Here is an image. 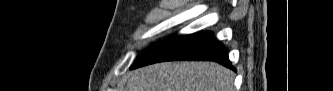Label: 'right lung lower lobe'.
<instances>
[{
    "label": "right lung lower lobe",
    "mask_w": 333,
    "mask_h": 91,
    "mask_svg": "<svg viewBox=\"0 0 333 91\" xmlns=\"http://www.w3.org/2000/svg\"><path fill=\"white\" fill-rule=\"evenodd\" d=\"M216 61L232 70L228 55L222 43L207 32L187 36L172 35L138 59L130 68L135 69L163 61Z\"/></svg>",
    "instance_id": "98d812e1"
}]
</instances>
